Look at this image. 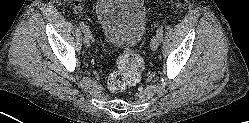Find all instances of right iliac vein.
Returning a JSON list of instances; mask_svg holds the SVG:
<instances>
[{"instance_id": "right-iliac-vein-1", "label": "right iliac vein", "mask_w": 249, "mask_h": 123, "mask_svg": "<svg viewBox=\"0 0 249 123\" xmlns=\"http://www.w3.org/2000/svg\"><path fill=\"white\" fill-rule=\"evenodd\" d=\"M83 43L86 47H89L91 45V37L90 34L84 33Z\"/></svg>"}]
</instances>
